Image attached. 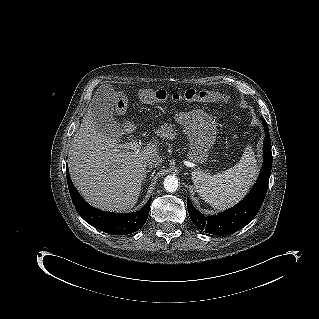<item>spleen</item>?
Here are the masks:
<instances>
[{
  "mask_svg": "<svg viewBox=\"0 0 319 319\" xmlns=\"http://www.w3.org/2000/svg\"><path fill=\"white\" fill-rule=\"evenodd\" d=\"M257 173L254 151L248 145L235 166L216 175L196 169L192 172V180L205 202L216 209L224 210L246 195Z\"/></svg>",
  "mask_w": 319,
  "mask_h": 319,
  "instance_id": "1",
  "label": "spleen"
}]
</instances>
